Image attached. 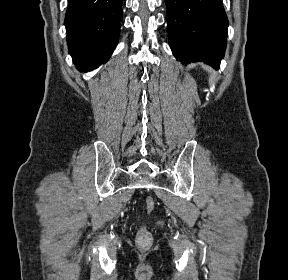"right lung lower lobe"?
Listing matches in <instances>:
<instances>
[{"mask_svg":"<svg viewBox=\"0 0 288 280\" xmlns=\"http://www.w3.org/2000/svg\"><path fill=\"white\" fill-rule=\"evenodd\" d=\"M123 0H69L67 43L81 72L98 68L113 53L122 21Z\"/></svg>","mask_w":288,"mask_h":280,"instance_id":"98d812e1","label":"right lung lower lobe"}]
</instances>
